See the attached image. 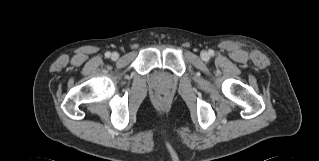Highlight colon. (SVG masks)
<instances>
[{
	"instance_id": "obj_1",
	"label": "colon",
	"mask_w": 319,
	"mask_h": 161,
	"mask_svg": "<svg viewBox=\"0 0 319 161\" xmlns=\"http://www.w3.org/2000/svg\"><path fill=\"white\" fill-rule=\"evenodd\" d=\"M166 100H167V95H166L165 92H161L160 91V92L157 93V101H158V103L163 104V103L166 102Z\"/></svg>"
}]
</instances>
